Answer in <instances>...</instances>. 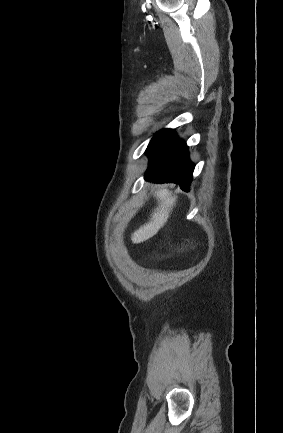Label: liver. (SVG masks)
Instances as JSON below:
<instances>
[{
  "label": "liver",
  "instance_id": "liver-1",
  "mask_svg": "<svg viewBox=\"0 0 283 433\" xmlns=\"http://www.w3.org/2000/svg\"><path fill=\"white\" fill-rule=\"evenodd\" d=\"M155 196L158 198V206L154 208L149 223H145L138 231L133 233L131 237L132 243H143V241H147L150 237H154L159 229L164 227L170 217V212L176 204L177 196H172V190H168V188L157 190Z\"/></svg>",
  "mask_w": 283,
  "mask_h": 433
}]
</instances>
